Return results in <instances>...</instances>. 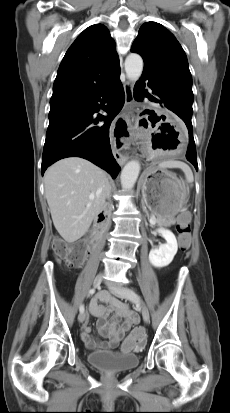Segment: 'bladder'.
Returning a JSON list of instances; mask_svg holds the SVG:
<instances>
[{"mask_svg":"<svg viewBox=\"0 0 230 413\" xmlns=\"http://www.w3.org/2000/svg\"><path fill=\"white\" fill-rule=\"evenodd\" d=\"M87 358L90 364L109 374L128 371L139 364V357L134 353L92 351Z\"/></svg>","mask_w":230,"mask_h":413,"instance_id":"1","label":"bladder"}]
</instances>
